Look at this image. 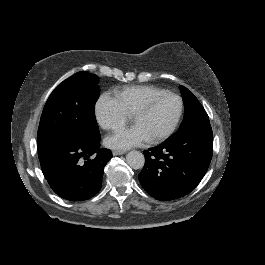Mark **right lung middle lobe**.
<instances>
[{"instance_id":"right-lung-middle-lobe-1","label":"right lung middle lobe","mask_w":265,"mask_h":265,"mask_svg":"<svg viewBox=\"0 0 265 265\" xmlns=\"http://www.w3.org/2000/svg\"><path fill=\"white\" fill-rule=\"evenodd\" d=\"M98 82L96 75L78 72L54 89L41 115L37 146L53 138L100 139L94 113Z\"/></svg>"}]
</instances>
